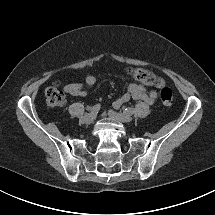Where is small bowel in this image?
<instances>
[{"label":"small bowel","instance_id":"obj_1","mask_svg":"<svg viewBox=\"0 0 215 215\" xmlns=\"http://www.w3.org/2000/svg\"><path fill=\"white\" fill-rule=\"evenodd\" d=\"M84 81L87 86L92 87L96 82V78L91 74H87L84 78ZM65 92L71 96L78 97H84L87 95V91L81 83L68 84L65 87ZM156 98L157 93L155 91H147L143 86L136 83H131L128 86L127 92L118 98L113 105L115 108H119L130 99L140 100L152 105L155 103Z\"/></svg>","mask_w":215,"mask_h":215}]
</instances>
